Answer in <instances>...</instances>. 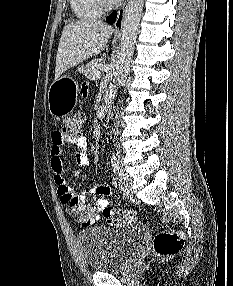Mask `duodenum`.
Instances as JSON below:
<instances>
[{"label":"duodenum","mask_w":233,"mask_h":286,"mask_svg":"<svg viewBox=\"0 0 233 286\" xmlns=\"http://www.w3.org/2000/svg\"><path fill=\"white\" fill-rule=\"evenodd\" d=\"M100 119L103 125H106L109 121V107L104 106L100 112Z\"/></svg>","instance_id":"duodenum-1"}]
</instances>
